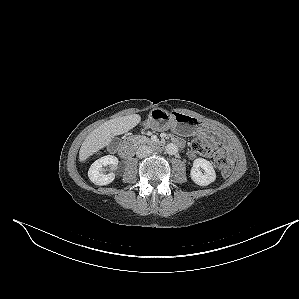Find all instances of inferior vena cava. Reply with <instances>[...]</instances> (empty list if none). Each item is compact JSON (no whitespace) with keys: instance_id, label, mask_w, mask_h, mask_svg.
<instances>
[{"instance_id":"inferior-vena-cava-1","label":"inferior vena cava","mask_w":299,"mask_h":299,"mask_svg":"<svg viewBox=\"0 0 299 299\" xmlns=\"http://www.w3.org/2000/svg\"><path fill=\"white\" fill-rule=\"evenodd\" d=\"M153 152L152 148L147 145H142L136 150V156L138 158H144L151 155Z\"/></svg>"}]
</instances>
